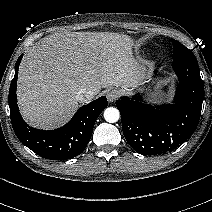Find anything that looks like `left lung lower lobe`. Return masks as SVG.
Instances as JSON below:
<instances>
[{"label":"left lung lower lobe","mask_w":212,"mask_h":212,"mask_svg":"<svg viewBox=\"0 0 212 212\" xmlns=\"http://www.w3.org/2000/svg\"><path fill=\"white\" fill-rule=\"evenodd\" d=\"M172 67L179 79L173 104L152 106L140 96L116 101L123 134L128 144L141 154L173 150L193 134L199 122L203 83L197 61H173Z\"/></svg>","instance_id":"1"}]
</instances>
